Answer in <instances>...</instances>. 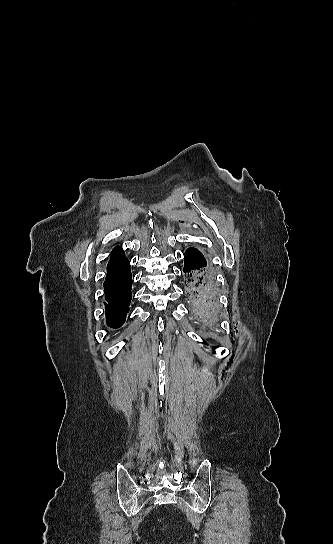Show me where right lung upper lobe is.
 Instances as JSON below:
<instances>
[{
  "mask_svg": "<svg viewBox=\"0 0 333 544\" xmlns=\"http://www.w3.org/2000/svg\"><path fill=\"white\" fill-rule=\"evenodd\" d=\"M129 263L121 247L113 249L107 266L106 278L122 270Z\"/></svg>",
  "mask_w": 333,
  "mask_h": 544,
  "instance_id": "right-lung-upper-lobe-1",
  "label": "right lung upper lobe"
}]
</instances>
